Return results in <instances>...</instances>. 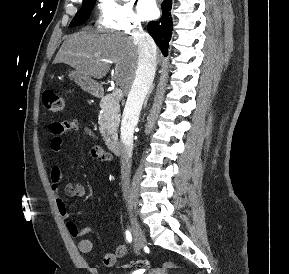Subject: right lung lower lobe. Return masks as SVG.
Listing matches in <instances>:
<instances>
[{
  "label": "right lung lower lobe",
  "mask_w": 289,
  "mask_h": 274,
  "mask_svg": "<svg viewBox=\"0 0 289 274\" xmlns=\"http://www.w3.org/2000/svg\"><path fill=\"white\" fill-rule=\"evenodd\" d=\"M171 7L172 0H164L161 4L162 17L159 21L149 22L147 26L149 34L153 37L164 56L168 55L169 42L173 30Z\"/></svg>",
  "instance_id": "1"
}]
</instances>
